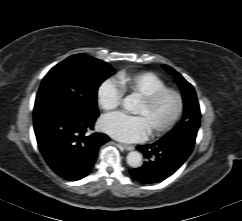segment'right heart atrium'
<instances>
[{
  "label": "right heart atrium",
  "mask_w": 242,
  "mask_h": 221,
  "mask_svg": "<svg viewBox=\"0 0 242 221\" xmlns=\"http://www.w3.org/2000/svg\"><path fill=\"white\" fill-rule=\"evenodd\" d=\"M123 95L124 92L118 83L114 79L109 78L99 85L96 92V99L99 107L109 112L120 105Z\"/></svg>",
  "instance_id": "1"
}]
</instances>
